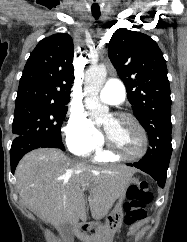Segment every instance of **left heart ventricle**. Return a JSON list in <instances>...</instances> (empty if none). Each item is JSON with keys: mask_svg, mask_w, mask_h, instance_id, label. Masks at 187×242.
<instances>
[{"mask_svg": "<svg viewBox=\"0 0 187 242\" xmlns=\"http://www.w3.org/2000/svg\"><path fill=\"white\" fill-rule=\"evenodd\" d=\"M103 129L116 149L128 154H136L141 150L142 138L132 123L110 116L105 120Z\"/></svg>", "mask_w": 187, "mask_h": 242, "instance_id": "left-heart-ventricle-1", "label": "left heart ventricle"}]
</instances>
